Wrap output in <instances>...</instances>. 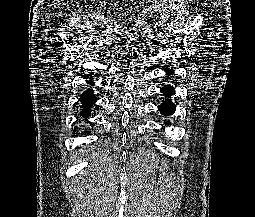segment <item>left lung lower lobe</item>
<instances>
[{"label":"left lung lower lobe","instance_id":"1","mask_svg":"<svg viewBox=\"0 0 255 217\" xmlns=\"http://www.w3.org/2000/svg\"><path fill=\"white\" fill-rule=\"evenodd\" d=\"M166 72L168 76L174 73L172 69H168ZM161 92L165 94L166 97L175 93L174 88L171 85H166L163 87ZM158 110H160L163 115H170L174 113L175 106L170 99H166V101H163V103L159 105Z\"/></svg>","mask_w":255,"mask_h":217}]
</instances>
